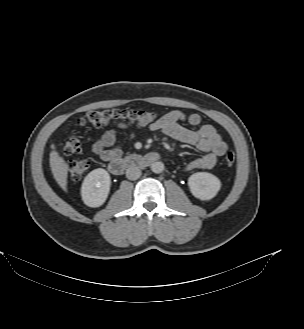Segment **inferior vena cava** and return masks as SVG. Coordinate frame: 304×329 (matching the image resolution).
I'll return each mask as SVG.
<instances>
[{
	"instance_id": "1",
	"label": "inferior vena cava",
	"mask_w": 304,
	"mask_h": 329,
	"mask_svg": "<svg viewBox=\"0 0 304 329\" xmlns=\"http://www.w3.org/2000/svg\"><path fill=\"white\" fill-rule=\"evenodd\" d=\"M141 176V170L136 166H130L126 171L129 180H137Z\"/></svg>"
}]
</instances>
